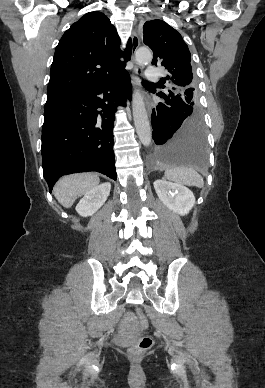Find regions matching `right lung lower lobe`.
Returning <instances> with one entry per match:
<instances>
[{
  "label": "right lung lower lobe",
  "mask_w": 265,
  "mask_h": 388,
  "mask_svg": "<svg viewBox=\"0 0 265 388\" xmlns=\"http://www.w3.org/2000/svg\"><path fill=\"white\" fill-rule=\"evenodd\" d=\"M131 95L124 70L108 82L46 102L41 151L50 192L58 178L70 173L97 171L116 180L115 112Z\"/></svg>",
  "instance_id": "right-lung-lower-lobe-1"
}]
</instances>
